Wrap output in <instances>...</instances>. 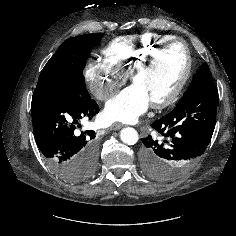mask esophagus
Listing matches in <instances>:
<instances>
[{"label": "esophagus", "mask_w": 236, "mask_h": 236, "mask_svg": "<svg viewBox=\"0 0 236 236\" xmlns=\"http://www.w3.org/2000/svg\"><path fill=\"white\" fill-rule=\"evenodd\" d=\"M122 124L121 123H113L111 126H110V130H118L120 128H122Z\"/></svg>", "instance_id": "34e87169"}]
</instances>
